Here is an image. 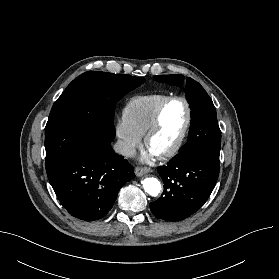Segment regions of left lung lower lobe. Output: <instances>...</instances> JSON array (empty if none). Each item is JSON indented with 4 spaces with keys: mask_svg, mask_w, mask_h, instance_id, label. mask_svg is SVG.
I'll use <instances>...</instances> for the list:
<instances>
[{
    "mask_svg": "<svg viewBox=\"0 0 279 279\" xmlns=\"http://www.w3.org/2000/svg\"><path fill=\"white\" fill-rule=\"evenodd\" d=\"M219 162L202 154L180 152L158 173L164 182L160 198L150 203L159 219L183 220L198 211L210 196L219 174Z\"/></svg>",
    "mask_w": 279,
    "mask_h": 279,
    "instance_id": "1",
    "label": "left lung lower lobe"
}]
</instances>
